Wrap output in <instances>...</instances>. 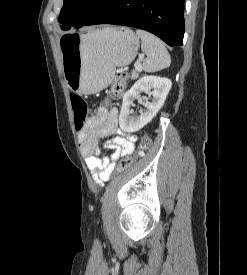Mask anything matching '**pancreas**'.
I'll use <instances>...</instances> for the list:
<instances>
[{
    "label": "pancreas",
    "mask_w": 247,
    "mask_h": 275,
    "mask_svg": "<svg viewBox=\"0 0 247 275\" xmlns=\"http://www.w3.org/2000/svg\"><path fill=\"white\" fill-rule=\"evenodd\" d=\"M139 77V71L135 70V71H132L131 73V79L132 80H135Z\"/></svg>",
    "instance_id": "cf45deb5"
}]
</instances>
